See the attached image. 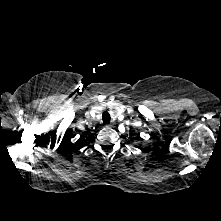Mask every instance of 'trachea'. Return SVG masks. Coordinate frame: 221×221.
Masks as SVG:
<instances>
[{
  "label": "trachea",
  "instance_id": "trachea-1",
  "mask_svg": "<svg viewBox=\"0 0 221 221\" xmlns=\"http://www.w3.org/2000/svg\"><path fill=\"white\" fill-rule=\"evenodd\" d=\"M110 119H111L110 114L107 111L103 112L102 114L103 123L105 124L110 123Z\"/></svg>",
  "mask_w": 221,
  "mask_h": 221
}]
</instances>
